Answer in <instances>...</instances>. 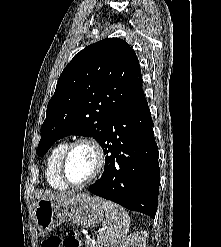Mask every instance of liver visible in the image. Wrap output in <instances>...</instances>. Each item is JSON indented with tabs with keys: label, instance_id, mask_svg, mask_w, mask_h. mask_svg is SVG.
Here are the masks:
<instances>
[{
	"label": "liver",
	"instance_id": "6515ba94",
	"mask_svg": "<svg viewBox=\"0 0 221 247\" xmlns=\"http://www.w3.org/2000/svg\"><path fill=\"white\" fill-rule=\"evenodd\" d=\"M74 195L72 192H67V193H45L41 196H38V199H50V200H60V199H65L70 196Z\"/></svg>",
	"mask_w": 221,
	"mask_h": 247
}]
</instances>
